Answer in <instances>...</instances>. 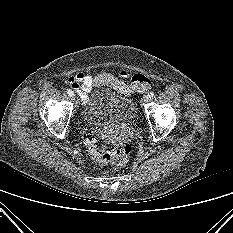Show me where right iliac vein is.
<instances>
[{"label": "right iliac vein", "mask_w": 233, "mask_h": 233, "mask_svg": "<svg viewBox=\"0 0 233 233\" xmlns=\"http://www.w3.org/2000/svg\"><path fill=\"white\" fill-rule=\"evenodd\" d=\"M72 98H73V100H76V96L75 95H73Z\"/></svg>", "instance_id": "1"}]
</instances>
